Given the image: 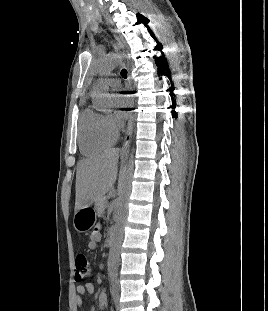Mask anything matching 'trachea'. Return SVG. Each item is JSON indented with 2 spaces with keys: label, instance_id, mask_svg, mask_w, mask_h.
I'll return each instance as SVG.
<instances>
[{
  "label": "trachea",
  "instance_id": "1",
  "mask_svg": "<svg viewBox=\"0 0 268 311\" xmlns=\"http://www.w3.org/2000/svg\"><path fill=\"white\" fill-rule=\"evenodd\" d=\"M121 76L126 79L127 78V70L126 69H122L121 70Z\"/></svg>",
  "mask_w": 268,
  "mask_h": 311
}]
</instances>
